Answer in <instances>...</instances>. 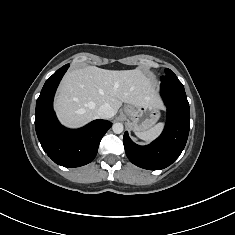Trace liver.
<instances>
[{"instance_id":"1","label":"liver","mask_w":235,"mask_h":235,"mask_svg":"<svg viewBox=\"0 0 235 235\" xmlns=\"http://www.w3.org/2000/svg\"><path fill=\"white\" fill-rule=\"evenodd\" d=\"M122 103L161 107L152 80L141 70L87 66L71 70L64 76L54 108L63 125L78 128L97 119L101 105L111 106L115 115Z\"/></svg>"}]
</instances>
